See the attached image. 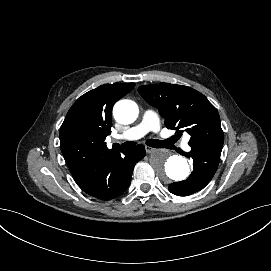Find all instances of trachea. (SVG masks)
Listing matches in <instances>:
<instances>
[{
	"instance_id": "obj_1",
	"label": "trachea",
	"mask_w": 271,
	"mask_h": 271,
	"mask_svg": "<svg viewBox=\"0 0 271 271\" xmlns=\"http://www.w3.org/2000/svg\"><path fill=\"white\" fill-rule=\"evenodd\" d=\"M146 144L150 147L154 148H168L169 140L160 141L157 139H148ZM122 146L126 149H130L136 146V142L134 141H127L122 144Z\"/></svg>"
}]
</instances>
